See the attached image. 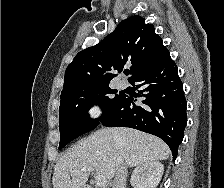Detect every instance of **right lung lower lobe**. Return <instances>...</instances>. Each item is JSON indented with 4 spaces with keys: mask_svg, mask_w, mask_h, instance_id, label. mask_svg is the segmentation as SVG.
Masks as SVG:
<instances>
[{
    "mask_svg": "<svg viewBox=\"0 0 224 188\" xmlns=\"http://www.w3.org/2000/svg\"><path fill=\"white\" fill-rule=\"evenodd\" d=\"M134 82H137L136 89H140V94L125 95L101 123L108 127H130L156 135L168 144L175 159L183 140L187 114L183 84L170 53L131 79V83ZM134 97H144L143 104L136 105Z\"/></svg>",
    "mask_w": 224,
    "mask_h": 188,
    "instance_id": "98d812e1",
    "label": "right lung lower lobe"
}]
</instances>
